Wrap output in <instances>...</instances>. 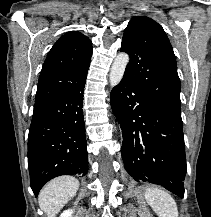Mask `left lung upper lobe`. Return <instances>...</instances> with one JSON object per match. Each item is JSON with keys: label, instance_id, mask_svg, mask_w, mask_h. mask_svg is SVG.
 Instances as JSON below:
<instances>
[{"label": "left lung upper lobe", "instance_id": "5c2ea615", "mask_svg": "<svg viewBox=\"0 0 211 217\" xmlns=\"http://www.w3.org/2000/svg\"><path fill=\"white\" fill-rule=\"evenodd\" d=\"M120 51L130 57L123 77L159 107L181 117L176 58L163 28L149 17H133L124 31Z\"/></svg>", "mask_w": 211, "mask_h": 217}]
</instances>
